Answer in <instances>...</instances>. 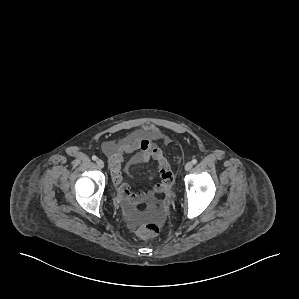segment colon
I'll return each instance as SVG.
<instances>
[{
	"label": "colon",
	"mask_w": 299,
	"mask_h": 299,
	"mask_svg": "<svg viewBox=\"0 0 299 299\" xmlns=\"http://www.w3.org/2000/svg\"><path fill=\"white\" fill-rule=\"evenodd\" d=\"M159 231H160L159 225H157L155 223H149V224L142 226L138 230V234L142 238H152V237L157 236Z\"/></svg>",
	"instance_id": "1"
}]
</instances>
